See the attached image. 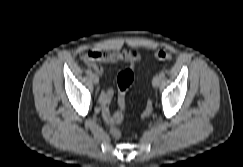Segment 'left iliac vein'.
<instances>
[{
  "instance_id": "obj_1",
  "label": "left iliac vein",
  "mask_w": 243,
  "mask_h": 167,
  "mask_svg": "<svg viewBox=\"0 0 243 167\" xmlns=\"http://www.w3.org/2000/svg\"><path fill=\"white\" fill-rule=\"evenodd\" d=\"M161 81H162V77H160L159 75H156V76H154V78L152 80V85L154 87H158L160 85Z\"/></svg>"
}]
</instances>
